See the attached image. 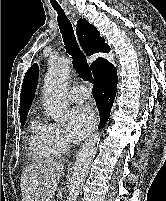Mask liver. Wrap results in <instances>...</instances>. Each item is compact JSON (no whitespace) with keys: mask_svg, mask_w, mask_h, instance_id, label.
<instances>
[{"mask_svg":"<svg viewBox=\"0 0 166 201\" xmlns=\"http://www.w3.org/2000/svg\"><path fill=\"white\" fill-rule=\"evenodd\" d=\"M63 168L61 161H42L26 167L21 174L22 201H52Z\"/></svg>","mask_w":166,"mask_h":201,"instance_id":"obj_1","label":"liver"}]
</instances>
